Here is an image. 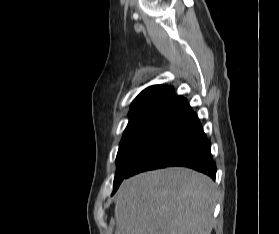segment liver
<instances>
[{
  "instance_id": "6515ba94",
  "label": "liver",
  "mask_w": 279,
  "mask_h": 234,
  "mask_svg": "<svg viewBox=\"0 0 279 234\" xmlns=\"http://www.w3.org/2000/svg\"><path fill=\"white\" fill-rule=\"evenodd\" d=\"M215 184L187 168L124 180L115 201L116 234H211Z\"/></svg>"
}]
</instances>
